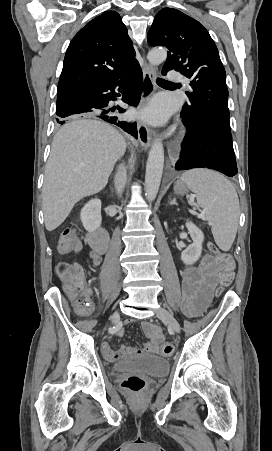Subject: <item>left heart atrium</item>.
<instances>
[{"instance_id": "obj_1", "label": "left heart atrium", "mask_w": 272, "mask_h": 451, "mask_svg": "<svg viewBox=\"0 0 272 451\" xmlns=\"http://www.w3.org/2000/svg\"><path fill=\"white\" fill-rule=\"evenodd\" d=\"M167 114H168V108H167L166 104L163 101L155 102V104L153 105V108L151 110V115L154 118L163 119L167 116Z\"/></svg>"}]
</instances>
